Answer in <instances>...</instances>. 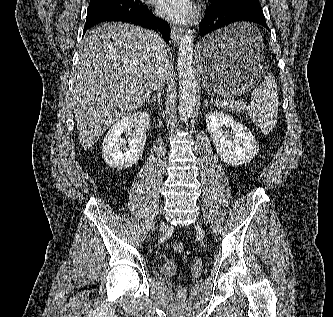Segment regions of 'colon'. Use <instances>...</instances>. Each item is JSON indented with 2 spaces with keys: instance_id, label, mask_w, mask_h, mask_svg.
Listing matches in <instances>:
<instances>
[{
  "instance_id": "5ec220e1",
  "label": "colon",
  "mask_w": 333,
  "mask_h": 317,
  "mask_svg": "<svg viewBox=\"0 0 333 317\" xmlns=\"http://www.w3.org/2000/svg\"><path fill=\"white\" fill-rule=\"evenodd\" d=\"M173 248L176 253H183L185 250V245L182 242H176Z\"/></svg>"
}]
</instances>
